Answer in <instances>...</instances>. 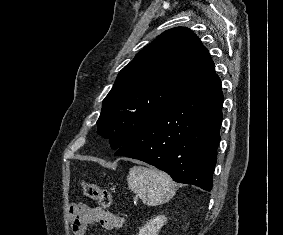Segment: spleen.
<instances>
[{"mask_svg":"<svg viewBox=\"0 0 283 235\" xmlns=\"http://www.w3.org/2000/svg\"><path fill=\"white\" fill-rule=\"evenodd\" d=\"M128 187L144 204L158 206L168 202L175 193L172 178L155 168L133 166L127 176Z\"/></svg>","mask_w":283,"mask_h":235,"instance_id":"1","label":"spleen"}]
</instances>
